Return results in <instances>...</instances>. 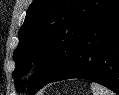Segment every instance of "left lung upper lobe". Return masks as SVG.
Returning a JSON list of instances; mask_svg holds the SVG:
<instances>
[{
	"mask_svg": "<svg viewBox=\"0 0 119 95\" xmlns=\"http://www.w3.org/2000/svg\"><path fill=\"white\" fill-rule=\"evenodd\" d=\"M116 0H34L18 33L19 44L13 59L17 91L24 89L18 80L39 58L40 69L31 79L32 95L60 75L72 62L76 48L89 27Z\"/></svg>",
	"mask_w": 119,
	"mask_h": 95,
	"instance_id": "left-lung-upper-lobe-1",
	"label": "left lung upper lobe"
}]
</instances>
